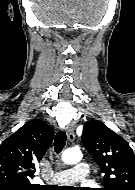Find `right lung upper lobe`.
<instances>
[{
  "label": "right lung upper lobe",
  "instance_id": "right-lung-upper-lobe-1",
  "mask_svg": "<svg viewBox=\"0 0 135 190\" xmlns=\"http://www.w3.org/2000/svg\"><path fill=\"white\" fill-rule=\"evenodd\" d=\"M53 136L43 121L31 120L5 139L0 145V185L38 187L30 183L35 162L44 156Z\"/></svg>",
  "mask_w": 135,
  "mask_h": 190
}]
</instances>
